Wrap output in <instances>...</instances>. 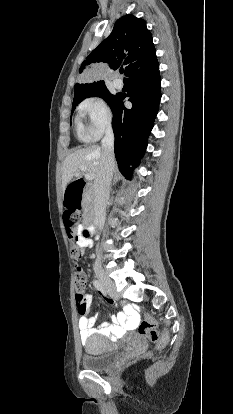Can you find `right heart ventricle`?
<instances>
[{
  "label": "right heart ventricle",
  "instance_id": "right-heart-ventricle-1",
  "mask_svg": "<svg viewBox=\"0 0 233 414\" xmlns=\"http://www.w3.org/2000/svg\"><path fill=\"white\" fill-rule=\"evenodd\" d=\"M78 129H79V131L82 133L83 128H82V126H81L80 124H78Z\"/></svg>",
  "mask_w": 233,
  "mask_h": 414
}]
</instances>
